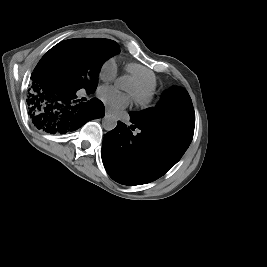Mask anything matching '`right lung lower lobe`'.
Masks as SVG:
<instances>
[{"label": "right lung lower lobe", "mask_w": 267, "mask_h": 267, "mask_svg": "<svg viewBox=\"0 0 267 267\" xmlns=\"http://www.w3.org/2000/svg\"><path fill=\"white\" fill-rule=\"evenodd\" d=\"M32 79L29 114L38 129L53 134L66 133L104 116V105L100 100L93 98L78 103L80 100H75L77 90L45 68L32 74Z\"/></svg>", "instance_id": "obj_1"}]
</instances>
